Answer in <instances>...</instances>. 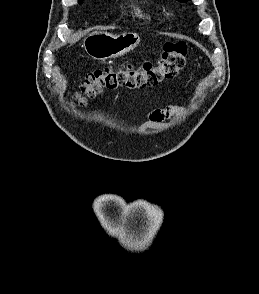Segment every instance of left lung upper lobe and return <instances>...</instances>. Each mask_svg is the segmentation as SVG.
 <instances>
[{
	"instance_id": "5c2ea615",
	"label": "left lung upper lobe",
	"mask_w": 259,
	"mask_h": 294,
	"mask_svg": "<svg viewBox=\"0 0 259 294\" xmlns=\"http://www.w3.org/2000/svg\"><path fill=\"white\" fill-rule=\"evenodd\" d=\"M178 1H181V2H187L188 0H178Z\"/></svg>"
}]
</instances>
